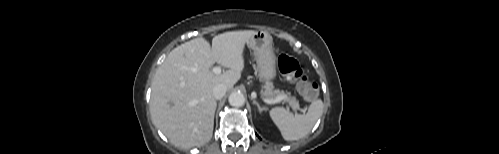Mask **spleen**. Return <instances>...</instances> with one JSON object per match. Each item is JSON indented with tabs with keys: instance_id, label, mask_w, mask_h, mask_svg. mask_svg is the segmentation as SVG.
Returning <instances> with one entry per match:
<instances>
[{
	"instance_id": "1",
	"label": "spleen",
	"mask_w": 499,
	"mask_h": 154,
	"mask_svg": "<svg viewBox=\"0 0 499 154\" xmlns=\"http://www.w3.org/2000/svg\"><path fill=\"white\" fill-rule=\"evenodd\" d=\"M322 100L313 101L306 114H293L283 107L270 110L269 115L286 141H296L310 133L323 113Z\"/></svg>"
}]
</instances>
